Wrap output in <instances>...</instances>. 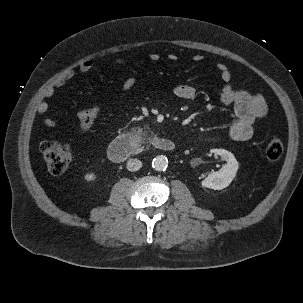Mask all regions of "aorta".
<instances>
[{"label":"aorta","instance_id":"aorta-1","mask_svg":"<svg viewBox=\"0 0 303 303\" xmlns=\"http://www.w3.org/2000/svg\"><path fill=\"white\" fill-rule=\"evenodd\" d=\"M168 166V160L165 156H157L152 161V167L156 171H165Z\"/></svg>","mask_w":303,"mask_h":303}]
</instances>
